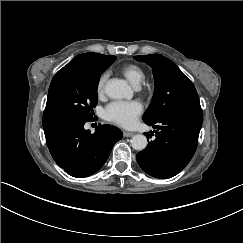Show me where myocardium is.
I'll use <instances>...</instances> for the list:
<instances>
[{"label":"myocardium","mask_w":243,"mask_h":243,"mask_svg":"<svg viewBox=\"0 0 243 243\" xmlns=\"http://www.w3.org/2000/svg\"><path fill=\"white\" fill-rule=\"evenodd\" d=\"M138 89L147 94H152L155 90V84L153 81L145 79L139 84Z\"/></svg>","instance_id":"1"}]
</instances>
